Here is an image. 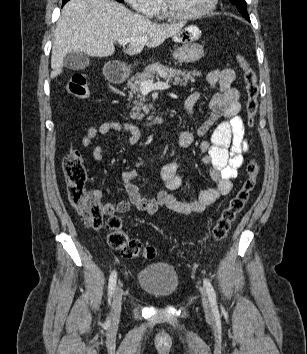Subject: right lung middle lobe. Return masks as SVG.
Returning <instances> with one entry per match:
<instances>
[{"instance_id":"right-lung-middle-lobe-1","label":"right lung middle lobe","mask_w":307,"mask_h":354,"mask_svg":"<svg viewBox=\"0 0 307 354\" xmlns=\"http://www.w3.org/2000/svg\"><path fill=\"white\" fill-rule=\"evenodd\" d=\"M117 1H119V2H123L124 0H117Z\"/></svg>"}]
</instances>
